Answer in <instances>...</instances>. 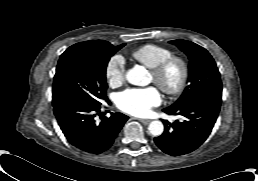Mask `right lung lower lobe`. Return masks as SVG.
Returning <instances> with one entry per match:
<instances>
[{"instance_id":"1","label":"right lung lower lobe","mask_w":258,"mask_h":181,"mask_svg":"<svg viewBox=\"0 0 258 181\" xmlns=\"http://www.w3.org/2000/svg\"><path fill=\"white\" fill-rule=\"evenodd\" d=\"M54 114L67 140L78 149L92 154L107 151L113 144L128 116L111 113L100 123L95 116L100 106H91L75 99H61L53 102Z\"/></svg>"}]
</instances>
